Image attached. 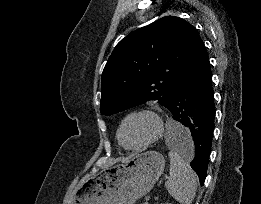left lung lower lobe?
Returning <instances> with one entry per match:
<instances>
[{
	"label": "left lung lower lobe",
	"instance_id": "left-lung-lower-lobe-1",
	"mask_svg": "<svg viewBox=\"0 0 261 204\" xmlns=\"http://www.w3.org/2000/svg\"><path fill=\"white\" fill-rule=\"evenodd\" d=\"M171 117L186 126L175 132L178 143L192 157L191 167L204 184L214 130V91L209 56L198 36L167 107Z\"/></svg>",
	"mask_w": 261,
	"mask_h": 204
}]
</instances>
